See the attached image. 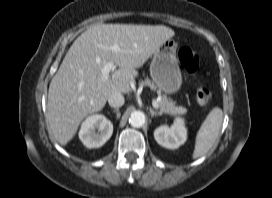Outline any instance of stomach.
I'll use <instances>...</instances> for the list:
<instances>
[{
  "label": "stomach",
  "instance_id": "1",
  "mask_svg": "<svg viewBox=\"0 0 272 198\" xmlns=\"http://www.w3.org/2000/svg\"><path fill=\"white\" fill-rule=\"evenodd\" d=\"M177 43L165 41L153 54L150 76L153 83L164 93H175L182 84V75L176 55Z\"/></svg>",
  "mask_w": 272,
  "mask_h": 198
}]
</instances>
